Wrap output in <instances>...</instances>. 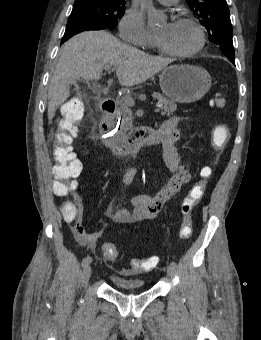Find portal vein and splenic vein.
Here are the masks:
<instances>
[{
    "label": "portal vein and splenic vein",
    "mask_w": 261,
    "mask_h": 340,
    "mask_svg": "<svg viewBox=\"0 0 261 340\" xmlns=\"http://www.w3.org/2000/svg\"><path fill=\"white\" fill-rule=\"evenodd\" d=\"M104 69L106 71H110L111 70V66L106 65V66H104ZM123 101H124V103H126L129 106H134L135 105V100H134V98L131 95H124L123 96ZM160 108H161L160 104L156 105V107L154 109V112H156V113L160 112Z\"/></svg>",
    "instance_id": "1"
}]
</instances>
